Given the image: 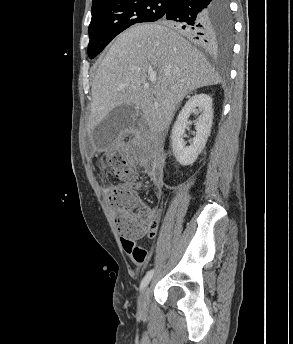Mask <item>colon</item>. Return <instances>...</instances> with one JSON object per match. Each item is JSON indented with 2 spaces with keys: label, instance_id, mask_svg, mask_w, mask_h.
<instances>
[{
  "label": "colon",
  "instance_id": "obj_1",
  "mask_svg": "<svg viewBox=\"0 0 293 344\" xmlns=\"http://www.w3.org/2000/svg\"><path fill=\"white\" fill-rule=\"evenodd\" d=\"M106 164L123 183L112 188L109 201L121 234L130 239L144 235L154 237L157 221L154 214L137 197L140 188L133 162L119 151L106 154Z\"/></svg>",
  "mask_w": 293,
  "mask_h": 344
}]
</instances>
